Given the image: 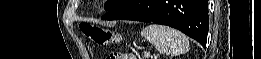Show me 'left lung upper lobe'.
<instances>
[{
  "mask_svg": "<svg viewBox=\"0 0 261 59\" xmlns=\"http://www.w3.org/2000/svg\"><path fill=\"white\" fill-rule=\"evenodd\" d=\"M123 0H108L105 4V9L107 11H110L111 9H113L115 6H117L118 4H120Z\"/></svg>",
  "mask_w": 261,
  "mask_h": 59,
  "instance_id": "1",
  "label": "left lung upper lobe"
}]
</instances>
